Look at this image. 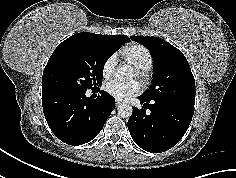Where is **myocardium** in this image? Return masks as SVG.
I'll use <instances>...</instances> for the list:
<instances>
[{
  "mask_svg": "<svg viewBox=\"0 0 236 178\" xmlns=\"http://www.w3.org/2000/svg\"><path fill=\"white\" fill-rule=\"evenodd\" d=\"M136 76L146 80L148 78V69L142 67H135Z\"/></svg>",
  "mask_w": 236,
  "mask_h": 178,
  "instance_id": "1",
  "label": "myocardium"
}]
</instances>
